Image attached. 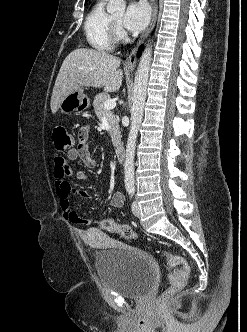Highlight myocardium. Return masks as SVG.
I'll use <instances>...</instances> for the list:
<instances>
[{
	"mask_svg": "<svg viewBox=\"0 0 247 332\" xmlns=\"http://www.w3.org/2000/svg\"><path fill=\"white\" fill-rule=\"evenodd\" d=\"M109 34L113 43H121L127 39L126 33L112 17H110L109 21Z\"/></svg>",
	"mask_w": 247,
	"mask_h": 332,
	"instance_id": "obj_1",
	"label": "myocardium"
}]
</instances>
